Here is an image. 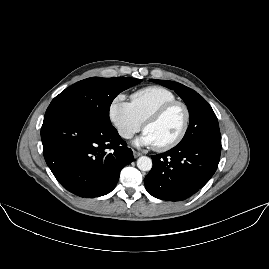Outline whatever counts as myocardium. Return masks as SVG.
I'll use <instances>...</instances> for the list:
<instances>
[{
  "instance_id": "obj_1",
  "label": "myocardium",
  "mask_w": 269,
  "mask_h": 269,
  "mask_svg": "<svg viewBox=\"0 0 269 269\" xmlns=\"http://www.w3.org/2000/svg\"><path fill=\"white\" fill-rule=\"evenodd\" d=\"M174 107H180L183 110V112H184V124H183L181 132L178 134V136L175 139H173L171 142H169L163 146H155V149L159 152H166V151H169L172 148L176 147L178 144H180L182 142V140L187 135V132H188L189 126H190V110H189L188 106L185 103H183L181 101H177V100L165 103V104L161 105L160 107L151 111L147 115V117L145 118V120L143 122V131L145 132L146 125L149 122L162 116L163 114H165L167 111H169L170 109H172Z\"/></svg>"
}]
</instances>
